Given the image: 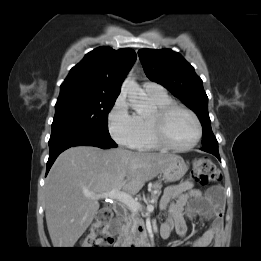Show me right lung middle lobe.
I'll return each instance as SVG.
<instances>
[{
    "instance_id": "1",
    "label": "right lung middle lobe",
    "mask_w": 261,
    "mask_h": 261,
    "mask_svg": "<svg viewBox=\"0 0 261 261\" xmlns=\"http://www.w3.org/2000/svg\"><path fill=\"white\" fill-rule=\"evenodd\" d=\"M117 96L59 95L52 134L92 130L109 135L107 116Z\"/></svg>"
}]
</instances>
